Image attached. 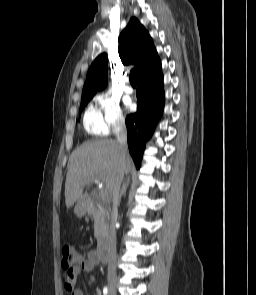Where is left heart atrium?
Returning <instances> with one entry per match:
<instances>
[{
  "label": "left heart atrium",
  "mask_w": 256,
  "mask_h": 295,
  "mask_svg": "<svg viewBox=\"0 0 256 295\" xmlns=\"http://www.w3.org/2000/svg\"><path fill=\"white\" fill-rule=\"evenodd\" d=\"M127 106L130 108L132 106L131 102H127Z\"/></svg>",
  "instance_id": "obj_1"
}]
</instances>
